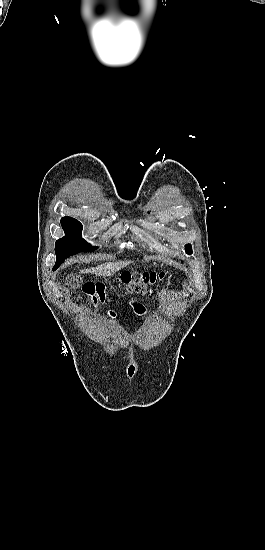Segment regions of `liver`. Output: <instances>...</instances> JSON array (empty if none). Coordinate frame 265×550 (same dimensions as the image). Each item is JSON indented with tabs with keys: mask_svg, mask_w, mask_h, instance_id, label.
<instances>
[{
	"mask_svg": "<svg viewBox=\"0 0 265 550\" xmlns=\"http://www.w3.org/2000/svg\"><path fill=\"white\" fill-rule=\"evenodd\" d=\"M129 264V261H115L101 264L95 268L82 270L81 273H94L96 275L110 276Z\"/></svg>",
	"mask_w": 265,
	"mask_h": 550,
	"instance_id": "6515ba94",
	"label": "liver"
}]
</instances>
